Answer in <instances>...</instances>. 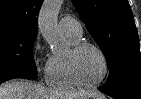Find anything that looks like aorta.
I'll return each mask as SVG.
<instances>
[{
    "mask_svg": "<svg viewBox=\"0 0 141 99\" xmlns=\"http://www.w3.org/2000/svg\"><path fill=\"white\" fill-rule=\"evenodd\" d=\"M61 4V0H46L38 16L39 31L54 51L61 47V37L57 29V17Z\"/></svg>",
    "mask_w": 141,
    "mask_h": 99,
    "instance_id": "aorta-1",
    "label": "aorta"
}]
</instances>
